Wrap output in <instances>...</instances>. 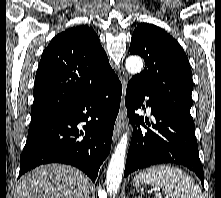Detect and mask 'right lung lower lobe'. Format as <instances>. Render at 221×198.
<instances>
[{
  "instance_id": "right-lung-lower-lobe-1",
  "label": "right lung lower lobe",
  "mask_w": 221,
  "mask_h": 198,
  "mask_svg": "<svg viewBox=\"0 0 221 198\" xmlns=\"http://www.w3.org/2000/svg\"><path fill=\"white\" fill-rule=\"evenodd\" d=\"M122 85L116 79L79 102L31 122L19 177L46 163L73 165L94 182L111 148ZM85 122L83 129L77 125ZM84 136L83 138H80Z\"/></svg>"
}]
</instances>
